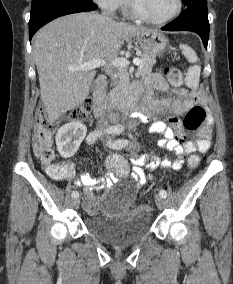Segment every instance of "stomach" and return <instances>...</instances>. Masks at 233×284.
I'll return each mask as SVG.
<instances>
[{
    "mask_svg": "<svg viewBox=\"0 0 233 284\" xmlns=\"http://www.w3.org/2000/svg\"><path fill=\"white\" fill-rule=\"evenodd\" d=\"M137 41L145 54L156 55L163 53L168 40L164 34L156 30H146L137 35Z\"/></svg>",
    "mask_w": 233,
    "mask_h": 284,
    "instance_id": "1",
    "label": "stomach"
}]
</instances>
